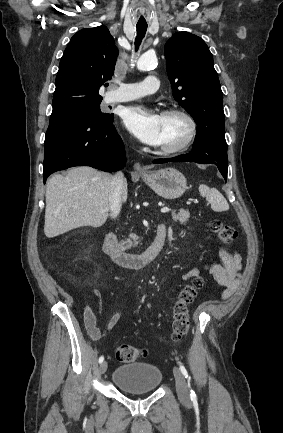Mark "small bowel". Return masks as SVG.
<instances>
[{
  "label": "small bowel",
  "instance_id": "small-bowel-1",
  "mask_svg": "<svg viewBox=\"0 0 283 433\" xmlns=\"http://www.w3.org/2000/svg\"><path fill=\"white\" fill-rule=\"evenodd\" d=\"M220 263H212L205 265L202 269L211 274L214 280L225 289L222 293L224 298L230 296L238 287L241 278V256L238 253H229L225 249H220ZM201 268L194 267L183 273L178 280L188 281L200 275ZM120 318V313H115L109 320L107 330H111ZM85 328L92 340H98L101 336L100 330L97 327V318L90 305L84 309Z\"/></svg>",
  "mask_w": 283,
  "mask_h": 433
}]
</instances>
